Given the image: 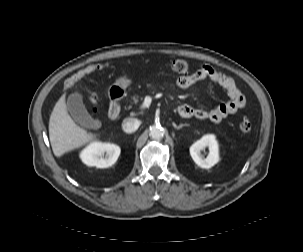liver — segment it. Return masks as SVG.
<instances>
[{
    "mask_svg": "<svg viewBox=\"0 0 303 252\" xmlns=\"http://www.w3.org/2000/svg\"><path fill=\"white\" fill-rule=\"evenodd\" d=\"M96 135L79 127L68 114L65 96L55 104L49 120V139L56 157L80 148Z\"/></svg>",
    "mask_w": 303,
    "mask_h": 252,
    "instance_id": "obj_1",
    "label": "liver"
}]
</instances>
